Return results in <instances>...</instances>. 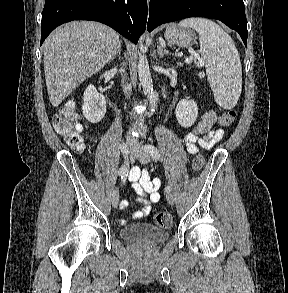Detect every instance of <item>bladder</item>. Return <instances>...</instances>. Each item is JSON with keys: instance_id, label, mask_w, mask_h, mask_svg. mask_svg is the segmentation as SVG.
Returning <instances> with one entry per match:
<instances>
[{"instance_id": "bladder-1", "label": "bladder", "mask_w": 288, "mask_h": 293, "mask_svg": "<svg viewBox=\"0 0 288 293\" xmlns=\"http://www.w3.org/2000/svg\"><path fill=\"white\" fill-rule=\"evenodd\" d=\"M120 236L125 241L159 244L169 238V232L148 223H135L121 228Z\"/></svg>"}]
</instances>
